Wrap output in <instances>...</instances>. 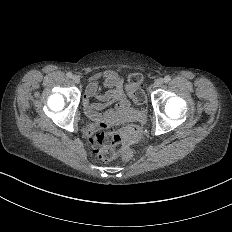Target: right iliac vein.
Masks as SVG:
<instances>
[{"instance_id":"obj_1","label":"right iliac vein","mask_w":232,"mask_h":232,"mask_svg":"<svg viewBox=\"0 0 232 232\" xmlns=\"http://www.w3.org/2000/svg\"><path fill=\"white\" fill-rule=\"evenodd\" d=\"M72 82L73 83H79L80 82V77L79 76H73L72 77Z\"/></svg>"}]
</instances>
